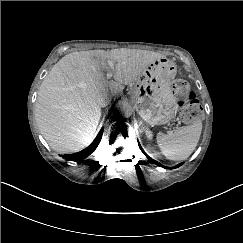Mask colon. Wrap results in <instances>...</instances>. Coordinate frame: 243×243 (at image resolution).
<instances>
[{
	"instance_id": "1",
	"label": "colon",
	"mask_w": 243,
	"mask_h": 243,
	"mask_svg": "<svg viewBox=\"0 0 243 243\" xmlns=\"http://www.w3.org/2000/svg\"><path fill=\"white\" fill-rule=\"evenodd\" d=\"M173 93L179 101L181 107L180 115L184 122L191 123L201 117L202 110L200 104L194 91L186 81H176L173 84Z\"/></svg>"
}]
</instances>
